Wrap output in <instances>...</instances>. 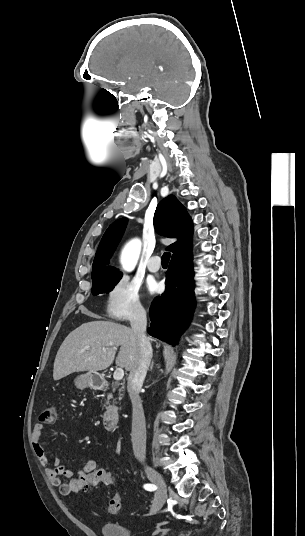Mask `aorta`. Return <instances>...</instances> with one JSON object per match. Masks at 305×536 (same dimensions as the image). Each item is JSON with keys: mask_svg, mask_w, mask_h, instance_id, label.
<instances>
[{"mask_svg": "<svg viewBox=\"0 0 305 536\" xmlns=\"http://www.w3.org/2000/svg\"><path fill=\"white\" fill-rule=\"evenodd\" d=\"M141 246L139 239H133L123 248L120 261L122 268L127 272L134 270L140 256Z\"/></svg>", "mask_w": 305, "mask_h": 536, "instance_id": "1", "label": "aorta"}]
</instances>
